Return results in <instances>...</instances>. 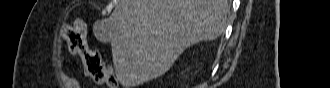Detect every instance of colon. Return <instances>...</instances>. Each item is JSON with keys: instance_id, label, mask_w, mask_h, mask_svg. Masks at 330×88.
<instances>
[{"instance_id": "obj_1", "label": "colon", "mask_w": 330, "mask_h": 88, "mask_svg": "<svg viewBox=\"0 0 330 88\" xmlns=\"http://www.w3.org/2000/svg\"><path fill=\"white\" fill-rule=\"evenodd\" d=\"M61 37L66 41L72 53L82 56L84 70L88 77L94 82L110 88L118 86V81L112 69L104 64L97 51L87 47L81 23L63 26Z\"/></svg>"}]
</instances>
